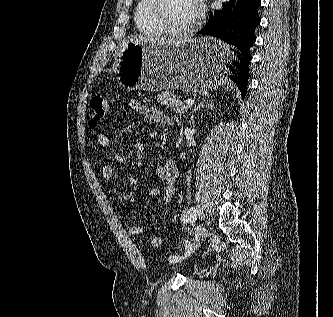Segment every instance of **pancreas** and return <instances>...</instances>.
I'll use <instances>...</instances> for the list:
<instances>
[{
	"label": "pancreas",
	"mask_w": 333,
	"mask_h": 317,
	"mask_svg": "<svg viewBox=\"0 0 333 317\" xmlns=\"http://www.w3.org/2000/svg\"><path fill=\"white\" fill-rule=\"evenodd\" d=\"M157 101L178 114H183L188 109L180 97H176L171 91L164 90L157 95Z\"/></svg>",
	"instance_id": "1"
}]
</instances>
